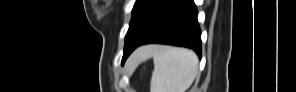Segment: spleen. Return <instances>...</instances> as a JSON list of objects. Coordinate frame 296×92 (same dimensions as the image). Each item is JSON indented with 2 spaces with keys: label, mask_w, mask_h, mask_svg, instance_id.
<instances>
[{
  "label": "spleen",
  "mask_w": 296,
  "mask_h": 92,
  "mask_svg": "<svg viewBox=\"0 0 296 92\" xmlns=\"http://www.w3.org/2000/svg\"><path fill=\"white\" fill-rule=\"evenodd\" d=\"M141 52V58L154 60L150 92H186L198 74V58L191 50L153 46Z\"/></svg>",
  "instance_id": "3e777b00"
}]
</instances>
